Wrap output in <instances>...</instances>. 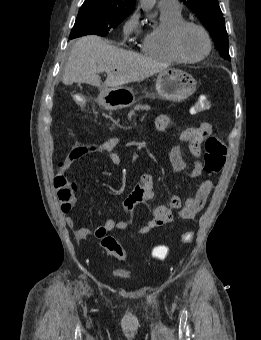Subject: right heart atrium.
<instances>
[{
    "instance_id": "d8ad5b80",
    "label": "right heart atrium",
    "mask_w": 261,
    "mask_h": 340,
    "mask_svg": "<svg viewBox=\"0 0 261 340\" xmlns=\"http://www.w3.org/2000/svg\"><path fill=\"white\" fill-rule=\"evenodd\" d=\"M139 12L133 11L124 23L123 31L125 35H130L139 29Z\"/></svg>"
}]
</instances>
